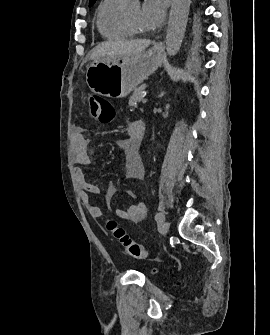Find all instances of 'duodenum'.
Segmentation results:
<instances>
[{
  "mask_svg": "<svg viewBox=\"0 0 270 335\" xmlns=\"http://www.w3.org/2000/svg\"><path fill=\"white\" fill-rule=\"evenodd\" d=\"M144 130H145L144 123L140 122L139 126H138V130H137V133H138L139 137H142L144 135Z\"/></svg>",
  "mask_w": 270,
  "mask_h": 335,
  "instance_id": "1",
  "label": "duodenum"
}]
</instances>
